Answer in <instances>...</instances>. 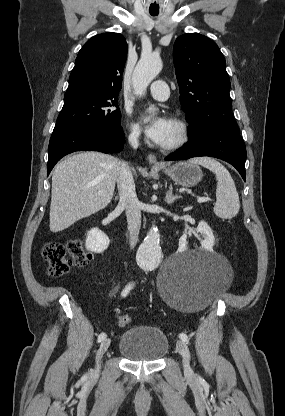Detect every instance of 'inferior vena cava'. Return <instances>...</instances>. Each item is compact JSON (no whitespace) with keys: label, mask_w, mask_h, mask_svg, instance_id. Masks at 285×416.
Segmentation results:
<instances>
[{"label":"inferior vena cava","mask_w":285,"mask_h":416,"mask_svg":"<svg viewBox=\"0 0 285 416\" xmlns=\"http://www.w3.org/2000/svg\"><path fill=\"white\" fill-rule=\"evenodd\" d=\"M138 138L139 136L134 134V132L130 134L128 142L133 148H138ZM117 188L119 190V204H122L126 210L128 230L130 232V246L134 248L138 242L141 226V204L136 196L132 172L125 162L117 170Z\"/></svg>","instance_id":"obj_1"}]
</instances>
